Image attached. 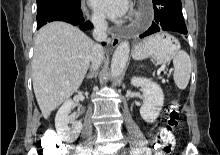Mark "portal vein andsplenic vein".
I'll list each match as a JSON object with an SVG mask.
<instances>
[{"label": "portal vein and splenic vein", "mask_w": 220, "mask_h": 155, "mask_svg": "<svg viewBox=\"0 0 220 155\" xmlns=\"http://www.w3.org/2000/svg\"><path fill=\"white\" fill-rule=\"evenodd\" d=\"M164 67L162 66L161 68H160V70H162ZM168 75H170V73L168 74ZM162 82L164 83L165 81L164 80H162Z\"/></svg>", "instance_id": "portal-vein-and-splenic-vein-1"}]
</instances>
